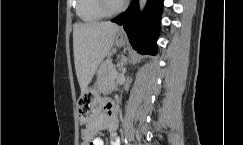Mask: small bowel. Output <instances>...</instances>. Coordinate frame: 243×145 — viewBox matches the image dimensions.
I'll list each match as a JSON object with an SVG mask.
<instances>
[{
  "label": "small bowel",
  "mask_w": 243,
  "mask_h": 145,
  "mask_svg": "<svg viewBox=\"0 0 243 145\" xmlns=\"http://www.w3.org/2000/svg\"><path fill=\"white\" fill-rule=\"evenodd\" d=\"M118 127V120L115 114V109L111 101H105L103 105V112L95 116L88 122L81 133V145H104L101 137L96 134L101 130L110 132L111 145H120L119 137L116 133Z\"/></svg>",
  "instance_id": "small-bowel-1"
}]
</instances>
